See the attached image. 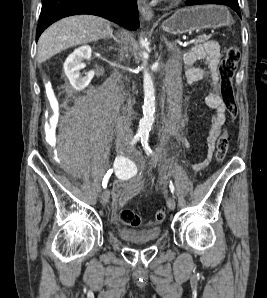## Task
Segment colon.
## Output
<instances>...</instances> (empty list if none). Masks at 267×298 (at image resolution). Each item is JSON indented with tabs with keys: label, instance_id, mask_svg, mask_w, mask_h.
Segmentation results:
<instances>
[{
	"label": "colon",
	"instance_id": "5ec220e1",
	"mask_svg": "<svg viewBox=\"0 0 267 298\" xmlns=\"http://www.w3.org/2000/svg\"><path fill=\"white\" fill-rule=\"evenodd\" d=\"M240 59V51L236 46H230L225 51L224 59L220 66V78H221V98L224 104L227 107L228 113L231 117L236 114V99L235 91L233 87V78L236 73V69ZM229 147V137L226 132H223L218 138L216 143V161L221 163L227 154ZM155 218L158 222L164 221L166 218V212L163 209L157 210L155 213ZM120 220L122 223L138 227L142 224L141 217L136 214L131 209L125 208L120 212Z\"/></svg>",
	"mask_w": 267,
	"mask_h": 298
}]
</instances>
